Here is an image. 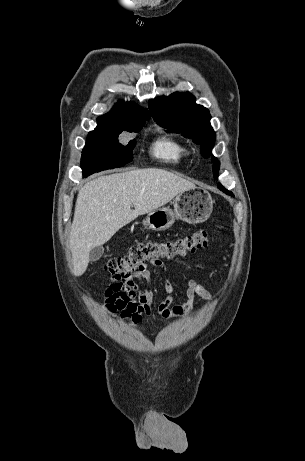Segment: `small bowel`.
I'll use <instances>...</instances> for the list:
<instances>
[{
	"mask_svg": "<svg viewBox=\"0 0 305 461\" xmlns=\"http://www.w3.org/2000/svg\"><path fill=\"white\" fill-rule=\"evenodd\" d=\"M175 262L182 265L188 272L191 271L189 263L177 258ZM155 266L162 271L166 269L163 262ZM197 267L202 268L201 264ZM163 287L167 296L156 309H153L154 291L151 274L146 269L139 270L131 278L114 282L107 287L104 293V311L111 315L119 311L120 318L124 322L137 324L142 321L144 315L150 318L155 315L162 318L184 315L193 307L196 298H201L206 302L213 300L209 289L197 283L193 278L188 280L185 293L186 302L183 304L173 305V285L168 279L163 281Z\"/></svg>",
	"mask_w": 305,
	"mask_h": 461,
	"instance_id": "small-bowel-1",
	"label": "small bowel"
}]
</instances>
